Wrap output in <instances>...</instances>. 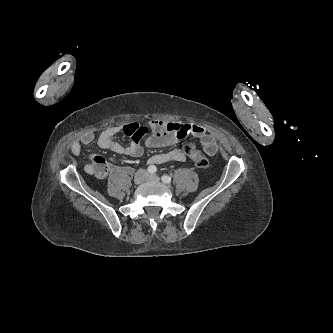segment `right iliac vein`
<instances>
[{
    "label": "right iliac vein",
    "instance_id": "63e3f726",
    "mask_svg": "<svg viewBox=\"0 0 333 333\" xmlns=\"http://www.w3.org/2000/svg\"><path fill=\"white\" fill-rule=\"evenodd\" d=\"M147 177V173L144 170H140L136 173L135 178H134V182L136 184H142Z\"/></svg>",
    "mask_w": 333,
    "mask_h": 333
}]
</instances>
